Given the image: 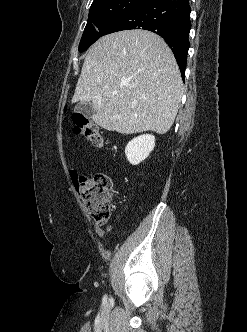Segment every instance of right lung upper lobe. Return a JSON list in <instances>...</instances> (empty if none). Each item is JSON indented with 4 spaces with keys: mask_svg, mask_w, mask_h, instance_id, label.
Listing matches in <instances>:
<instances>
[{
    "mask_svg": "<svg viewBox=\"0 0 247 332\" xmlns=\"http://www.w3.org/2000/svg\"><path fill=\"white\" fill-rule=\"evenodd\" d=\"M96 1H99V0H94L93 2H96Z\"/></svg>",
    "mask_w": 247,
    "mask_h": 332,
    "instance_id": "cb5924a9",
    "label": "right lung upper lobe"
}]
</instances>
